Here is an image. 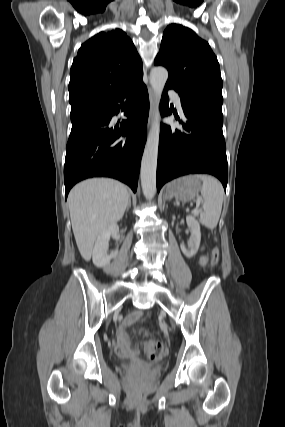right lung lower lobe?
I'll list each match as a JSON object with an SVG mask.
<instances>
[{
  "instance_id": "98d812e1",
  "label": "right lung lower lobe",
  "mask_w": 285,
  "mask_h": 427,
  "mask_svg": "<svg viewBox=\"0 0 285 427\" xmlns=\"http://www.w3.org/2000/svg\"><path fill=\"white\" fill-rule=\"evenodd\" d=\"M127 120L113 126L123 110ZM149 97L143 80L108 100L71 115L72 129L64 166L65 197L77 182L90 177H112L137 190L146 142Z\"/></svg>"
}]
</instances>
